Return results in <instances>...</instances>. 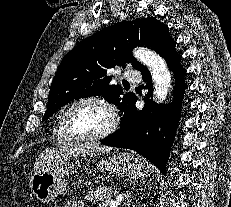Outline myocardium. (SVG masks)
Segmentation results:
<instances>
[{"label": "myocardium", "instance_id": "obj_1", "mask_svg": "<svg viewBox=\"0 0 231 207\" xmlns=\"http://www.w3.org/2000/svg\"><path fill=\"white\" fill-rule=\"evenodd\" d=\"M95 103L104 108L110 117V123L108 127L102 132L92 135V136H83L77 134L70 123V113L72 110L81 103ZM63 126L66 134L74 141L83 142V143H92L103 140L108 136L112 135L119 127L120 119L117 113L116 108L109 102L107 99L97 96V95H87L74 100L64 111L63 116Z\"/></svg>", "mask_w": 231, "mask_h": 207}]
</instances>
